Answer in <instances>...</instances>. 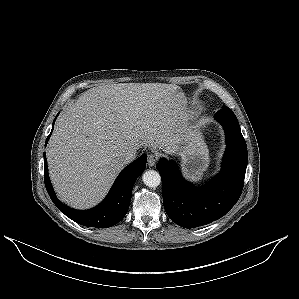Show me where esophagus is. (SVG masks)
Segmentation results:
<instances>
[{
  "label": "esophagus",
  "mask_w": 299,
  "mask_h": 299,
  "mask_svg": "<svg viewBox=\"0 0 299 299\" xmlns=\"http://www.w3.org/2000/svg\"><path fill=\"white\" fill-rule=\"evenodd\" d=\"M147 162L149 166H154L157 162V157L155 155H149L147 158Z\"/></svg>",
  "instance_id": "obj_1"
}]
</instances>
